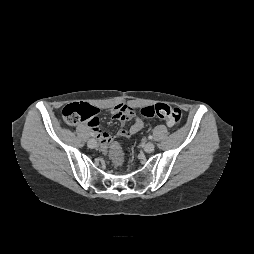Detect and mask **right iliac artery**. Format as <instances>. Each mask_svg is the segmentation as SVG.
<instances>
[{
    "label": "right iliac artery",
    "instance_id": "obj_1",
    "mask_svg": "<svg viewBox=\"0 0 254 254\" xmlns=\"http://www.w3.org/2000/svg\"><path fill=\"white\" fill-rule=\"evenodd\" d=\"M91 136H94V134H93V133H91Z\"/></svg>",
    "mask_w": 254,
    "mask_h": 254
}]
</instances>
